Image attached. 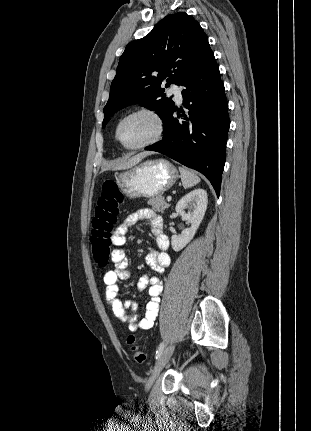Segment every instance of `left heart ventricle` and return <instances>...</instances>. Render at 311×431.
Masks as SVG:
<instances>
[{
	"mask_svg": "<svg viewBox=\"0 0 311 431\" xmlns=\"http://www.w3.org/2000/svg\"><path fill=\"white\" fill-rule=\"evenodd\" d=\"M156 120L145 113L125 117L118 126L120 140L129 146L149 141L157 133Z\"/></svg>",
	"mask_w": 311,
	"mask_h": 431,
	"instance_id": "b2bd125f",
	"label": "left heart ventricle"
}]
</instances>
